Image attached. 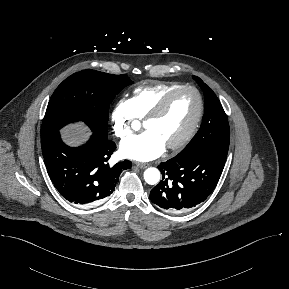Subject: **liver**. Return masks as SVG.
Listing matches in <instances>:
<instances>
[{
    "instance_id": "1",
    "label": "liver",
    "mask_w": 289,
    "mask_h": 289,
    "mask_svg": "<svg viewBox=\"0 0 289 289\" xmlns=\"http://www.w3.org/2000/svg\"><path fill=\"white\" fill-rule=\"evenodd\" d=\"M63 138L68 144H77L86 139L90 132L83 124H73L62 131Z\"/></svg>"
}]
</instances>
